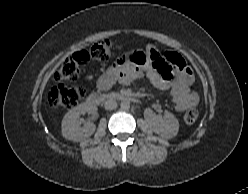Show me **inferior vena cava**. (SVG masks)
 <instances>
[{"mask_svg":"<svg viewBox=\"0 0 248 194\" xmlns=\"http://www.w3.org/2000/svg\"><path fill=\"white\" fill-rule=\"evenodd\" d=\"M106 110H113L117 108V102L114 100H107L104 104Z\"/></svg>","mask_w":248,"mask_h":194,"instance_id":"1","label":"inferior vena cava"}]
</instances>
